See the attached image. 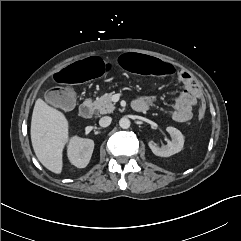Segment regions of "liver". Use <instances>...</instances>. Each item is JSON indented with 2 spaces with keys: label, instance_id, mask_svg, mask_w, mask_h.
I'll return each mask as SVG.
<instances>
[{
  "label": "liver",
  "instance_id": "obj_1",
  "mask_svg": "<svg viewBox=\"0 0 241 241\" xmlns=\"http://www.w3.org/2000/svg\"><path fill=\"white\" fill-rule=\"evenodd\" d=\"M69 123L65 115L37 99L31 120V142L40 163L53 173L63 168L62 152L69 138Z\"/></svg>",
  "mask_w": 241,
  "mask_h": 241
}]
</instances>
